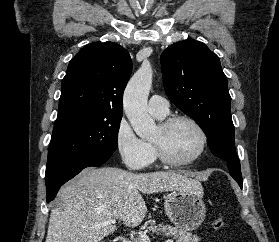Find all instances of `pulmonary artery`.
Wrapping results in <instances>:
<instances>
[{
	"mask_svg": "<svg viewBox=\"0 0 279 242\" xmlns=\"http://www.w3.org/2000/svg\"><path fill=\"white\" fill-rule=\"evenodd\" d=\"M148 109L151 113L166 115L169 112V102L160 95H153L148 101Z\"/></svg>",
	"mask_w": 279,
	"mask_h": 242,
	"instance_id": "obj_1",
	"label": "pulmonary artery"
}]
</instances>
